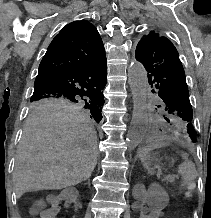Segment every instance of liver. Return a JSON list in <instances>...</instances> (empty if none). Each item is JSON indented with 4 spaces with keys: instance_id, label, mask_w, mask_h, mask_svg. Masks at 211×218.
<instances>
[{
    "instance_id": "liver-1",
    "label": "liver",
    "mask_w": 211,
    "mask_h": 218,
    "mask_svg": "<svg viewBox=\"0 0 211 218\" xmlns=\"http://www.w3.org/2000/svg\"><path fill=\"white\" fill-rule=\"evenodd\" d=\"M97 154L95 128L83 110L35 108L16 154L13 182L18 198L25 192L62 190L88 180Z\"/></svg>"
}]
</instances>
